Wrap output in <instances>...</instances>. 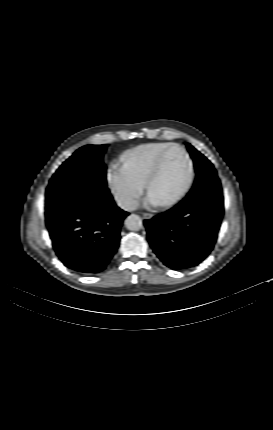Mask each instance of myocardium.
I'll return each instance as SVG.
<instances>
[{"mask_svg":"<svg viewBox=\"0 0 273 430\" xmlns=\"http://www.w3.org/2000/svg\"><path fill=\"white\" fill-rule=\"evenodd\" d=\"M173 149H178L184 154L186 161L188 163V176H187V179H186L183 187L180 189V191L170 200H168L164 203H161L160 205L162 207H171V206H174L175 204H177L187 194V192L189 191V189L193 183V180H194V173H195L194 172V165H193L192 158L189 155L188 151L183 146H181L179 144H171L168 147H166L165 149H163L160 152V154L158 155V157H157V159H156V161H155V163H154V165H153V167H152V169H151L150 173L148 174L147 179L145 181L146 190L149 192L151 184L153 183V181L156 179V177L159 175V173L161 171L162 163H163V160H164L166 154Z\"/></svg>","mask_w":273,"mask_h":430,"instance_id":"myocardium-1","label":"myocardium"}]
</instances>
